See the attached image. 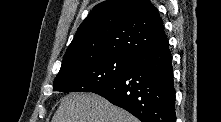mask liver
Listing matches in <instances>:
<instances>
[{
	"label": "liver",
	"mask_w": 221,
	"mask_h": 122,
	"mask_svg": "<svg viewBox=\"0 0 221 122\" xmlns=\"http://www.w3.org/2000/svg\"><path fill=\"white\" fill-rule=\"evenodd\" d=\"M52 122H138L129 112L94 93H70L61 99Z\"/></svg>",
	"instance_id": "6515ba94"
}]
</instances>
